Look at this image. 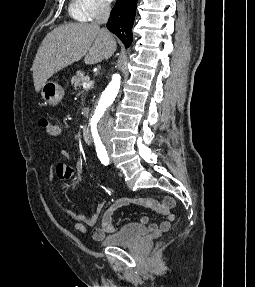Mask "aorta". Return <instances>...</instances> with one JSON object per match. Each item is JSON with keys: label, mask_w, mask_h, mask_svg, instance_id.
<instances>
[{"label": "aorta", "mask_w": 255, "mask_h": 287, "mask_svg": "<svg viewBox=\"0 0 255 287\" xmlns=\"http://www.w3.org/2000/svg\"><path fill=\"white\" fill-rule=\"evenodd\" d=\"M120 88V75L114 74L111 82L101 95L98 106L90 120L91 134L95 144L100 143V135L103 127V118L106 109L113 103Z\"/></svg>", "instance_id": "aorta-1"}]
</instances>
